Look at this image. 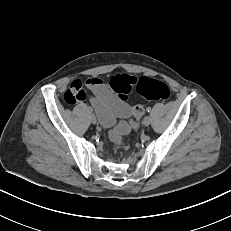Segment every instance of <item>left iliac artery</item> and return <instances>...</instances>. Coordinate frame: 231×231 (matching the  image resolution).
Returning <instances> with one entry per match:
<instances>
[{
    "instance_id": "1",
    "label": "left iliac artery",
    "mask_w": 231,
    "mask_h": 231,
    "mask_svg": "<svg viewBox=\"0 0 231 231\" xmlns=\"http://www.w3.org/2000/svg\"><path fill=\"white\" fill-rule=\"evenodd\" d=\"M146 110H147L148 113L151 112V108L150 107H148Z\"/></svg>"
}]
</instances>
